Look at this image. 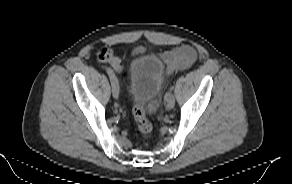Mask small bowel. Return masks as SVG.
<instances>
[{"label": "small bowel", "mask_w": 292, "mask_h": 184, "mask_svg": "<svg viewBox=\"0 0 292 184\" xmlns=\"http://www.w3.org/2000/svg\"><path fill=\"white\" fill-rule=\"evenodd\" d=\"M144 51L143 47H138L134 50V54H142ZM161 58L166 64V74L169 76L176 71L191 67L196 60V51L190 45H182L162 53ZM110 64L115 70H120L122 67L118 57H114Z\"/></svg>", "instance_id": "1"}]
</instances>
